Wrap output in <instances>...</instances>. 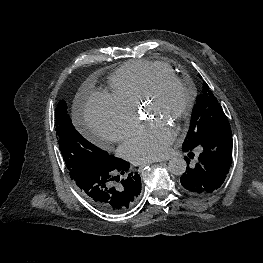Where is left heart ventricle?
Masks as SVG:
<instances>
[{"instance_id": "left-heart-ventricle-1", "label": "left heart ventricle", "mask_w": 263, "mask_h": 263, "mask_svg": "<svg viewBox=\"0 0 263 263\" xmlns=\"http://www.w3.org/2000/svg\"><path fill=\"white\" fill-rule=\"evenodd\" d=\"M185 103V92L176 85H170L158 98L145 104L144 112L150 118H161L173 123Z\"/></svg>"}]
</instances>
